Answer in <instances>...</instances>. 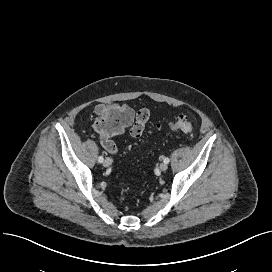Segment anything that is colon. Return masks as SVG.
Returning <instances> with one entry per match:
<instances>
[{"label":"colon","mask_w":272,"mask_h":272,"mask_svg":"<svg viewBox=\"0 0 272 272\" xmlns=\"http://www.w3.org/2000/svg\"><path fill=\"white\" fill-rule=\"evenodd\" d=\"M131 115L129 112L116 107L107 106L95 120L94 129L100 134L101 139L108 135L119 134L129 126ZM147 121L146 114H139L130 128V135L133 138L141 137ZM170 129L173 131L183 132L187 135H192L194 132V124L185 116H179L170 124Z\"/></svg>","instance_id":"obj_1"}]
</instances>
